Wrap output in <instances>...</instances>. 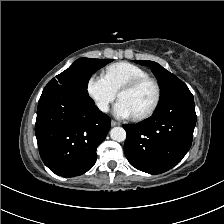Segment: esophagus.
I'll return each instance as SVG.
<instances>
[{
  "label": "esophagus",
  "mask_w": 224,
  "mask_h": 224,
  "mask_svg": "<svg viewBox=\"0 0 224 224\" xmlns=\"http://www.w3.org/2000/svg\"><path fill=\"white\" fill-rule=\"evenodd\" d=\"M118 125H120L119 122H116V121H114V120L111 121V126H112V127H114V126H118Z\"/></svg>",
  "instance_id": "esophagus-1"
}]
</instances>
